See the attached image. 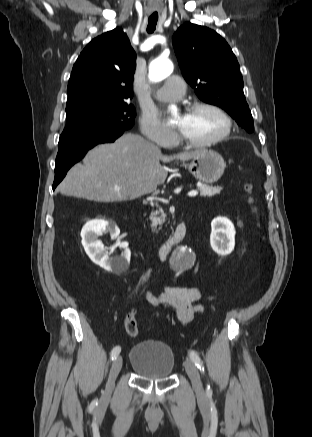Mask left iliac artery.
<instances>
[{
	"mask_svg": "<svg viewBox=\"0 0 312 437\" xmlns=\"http://www.w3.org/2000/svg\"><path fill=\"white\" fill-rule=\"evenodd\" d=\"M189 357H190V359L193 361V363L197 366V368H198L201 372H204L203 362H202L201 358L199 357V355H198L195 351H190V352H189ZM206 393H207L208 395H211V394H212V390H211V388H210V385H207Z\"/></svg>",
	"mask_w": 312,
	"mask_h": 437,
	"instance_id": "left-iliac-artery-1",
	"label": "left iliac artery"
}]
</instances>
